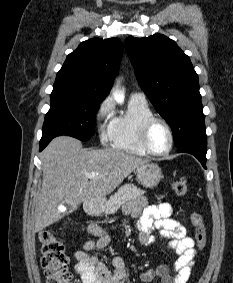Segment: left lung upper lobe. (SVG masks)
Returning <instances> with one entry per match:
<instances>
[{
    "mask_svg": "<svg viewBox=\"0 0 233 283\" xmlns=\"http://www.w3.org/2000/svg\"><path fill=\"white\" fill-rule=\"evenodd\" d=\"M125 46L141 88L170 125L175 145L207 142L198 75L170 38L128 37Z\"/></svg>",
    "mask_w": 233,
    "mask_h": 283,
    "instance_id": "5c2ea615",
    "label": "left lung upper lobe"
}]
</instances>
